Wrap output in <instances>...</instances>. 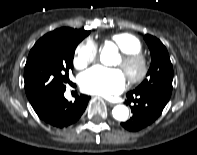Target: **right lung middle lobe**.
<instances>
[{"label":"right lung middle lobe","mask_w":197,"mask_h":155,"mask_svg":"<svg viewBox=\"0 0 197 155\" xmlns=\"http://www.w3.org/2000/svg\"><path fill=\"white\" fill-rule=\"evenodd\" d=\"M89 33L60 28L35 43L24 69L25 91L32 106L66 89L75 48Z\"/></svg>","instance_id":"right-lung-middle-lobe-1"}]
</instances>
